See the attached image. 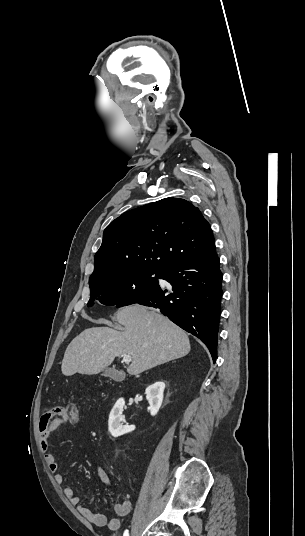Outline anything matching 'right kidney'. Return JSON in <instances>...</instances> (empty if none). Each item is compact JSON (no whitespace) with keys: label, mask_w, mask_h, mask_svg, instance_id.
<instances>
[{"label":"right kidney","mask_w":305,"mask_h":536,"mask_svg":"<svg viewBox=\"0 0 305 536\" xmlns=\"http://www.w3.org/2000/svg\"><path fill=\"white\" fill-rule=\"evenodd\" d=\"M164 390V382H155V384L146 388V398L150 404L151 416H156L157 412H159L163 402ZM124 404L125 402L123 398H120L110 412L108 430L114 438H118V436H123V434L129 432V426H123V424H121L123 420L122 412Z\"/></svg>","instance_id":"1"}]
</instances>
